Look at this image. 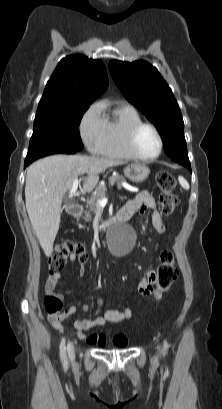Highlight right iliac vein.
Returning <instances> with one entry per match:
<instances>
[{
  "mask_svg": "<svg viewBox=\"0 0 222 409\" xmlns=\"http://www.w3.org/2000/svg\"><path fill=\"white\" fill-rule=\"evenodd\" d=\"M68 355L71 360L75 358V349L73 343H69L67 347Z\"/></svg>",
  "mask_w": 222,
  "mask_h": 409,
  "instance_id": "right-iliac-vein-1",
  "label": "right iliac vein"
}]
</instances>
